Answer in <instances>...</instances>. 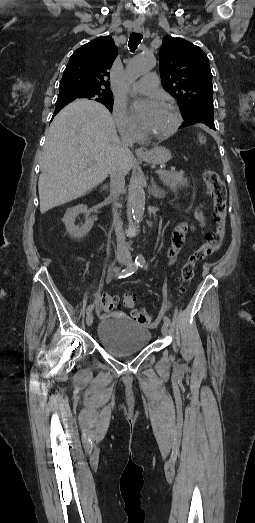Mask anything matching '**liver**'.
<instances>
[{
    "label": "liver",
    "mask_w": 255,
    "mask_h": 523,
    "mask_svg": "<svg viewBox=\"0 0 255 523\" xmlns=\"http://www.w3.org/2000/svg\"><path fill=\"white\" fill-rule=\"evenodd\" d=\"M121 142L102 104L75 100L55 116L46 132L38 180L40 212L76 200L101 182L117 162ZM134 158L124 164L126 174Z\"/></svg>",
    "instance_id": "liver-1"
}]
</instances>
